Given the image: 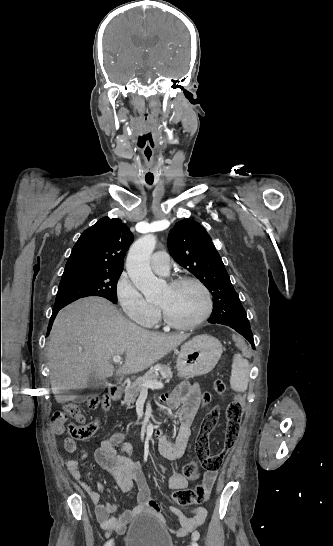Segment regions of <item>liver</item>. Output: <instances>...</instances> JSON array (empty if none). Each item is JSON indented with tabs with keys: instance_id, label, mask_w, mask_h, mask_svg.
<instances>
[{
	"instance_id": "6515ba94",
	"label": "liver",
	"mask_w": 333,
	"mask_h": 546,
	"mask_svg": "<svg viewBox=\"0 0 333 546\" xmlns=\"http://www.w3.org/2000/svg\"><path fill=\"white\" fill-rule=\"evenodd\" d=\"M188 338L147 331L123 317L106 299L89 297L63 308L49 335L47 358L52 392L58 403L69 402L66 390L82 389L94 373H114L112 357L125 355L118 374H136L163 358Z\"/></svg>"
}]
</instances>
